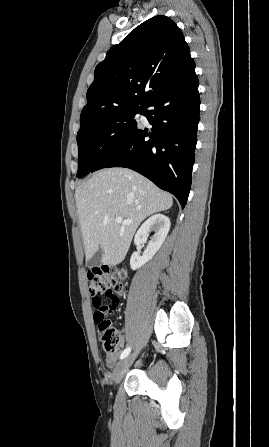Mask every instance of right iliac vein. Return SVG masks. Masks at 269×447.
I'll use <instances>...</instances> for the list:
<instances>
[{
  "instance_id": "right-iliac-vein-1",
  "label": "right iliac vein",
  "mask_w": 269,
  "mask_h": 447,
  "mask_svg": "<svg viewBox=\"0 0 269 447\" xmlns=\"http://www.w3.org/2000/svg\"><path fill=\"white\" fill-rule=\"evenodd\" d=\"M136 358V353L128 356L127 358H125L124 360L120 361L117 365V367L114 370V374H113V380L115 382H119L124 374L128 371L130 365L133 363V361Z\"/></svg>"
}]
</instances>
